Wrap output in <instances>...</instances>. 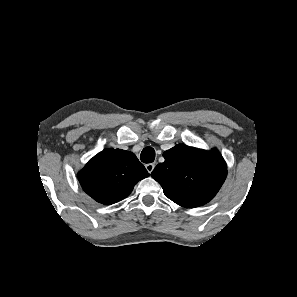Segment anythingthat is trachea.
Listing matches in <instances>:
<instances>
[{
  "instance_id": "3493384b",
  "label": "trachea",
  "mask_w": 297,
  "mask_h": 297,
  "mask_svg": "<svg viewBox=\"0 0 297 297\" xmlns=\"http://www.w3.org/2000/svg\"><path fill=\"white\" fill-rule=\"evenodd\" d=\"M143 163H152L155 159V150L152 147H145L140 155Z\"/></svg>"
}]
</instances>
